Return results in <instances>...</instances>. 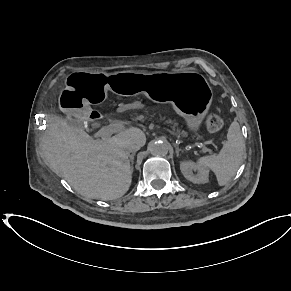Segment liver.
I'll use <instances>...</instances> for the list:
<instances>
[{
  "label": "liver",
  "mask_w": 291,
  "mask_h": 291,
  "mask_svg": "<svg viewBox=\"0 0 291 291\" xmlns=\"http://www.w3.org/2000/svg\"><path fill=\"white\" fill-rule=\"evenodd\" d=\"M146 143L145 133L136 127L94 140L82 127L70 126L55 117L47 125L43 155L81 195L101 200L122 197L132 183V171L124 144Z\"/></svg>",
  "instance_id": "6515ba94"
}]
</instances>
